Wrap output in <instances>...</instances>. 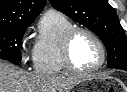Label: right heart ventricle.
I'll return each mask as SVG.
<instances>
[{"label":"right heart ventricle","mask_w":127,"mask_h":92,"mask_svg":"<svg viewBox=\"0 0 127 92\" xmlns=\"http://www.w3.org/2000/svg\"><path fill=\"white\" fill-rule=\"evenodd\" d=\"M72 23L61 13L46 12L39 23V34L34 46V69L43 75L67 72L61 57V43Z\"/></svg>","instance_id":"obj_1"}]
</instances>
